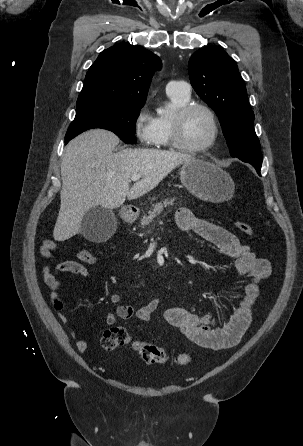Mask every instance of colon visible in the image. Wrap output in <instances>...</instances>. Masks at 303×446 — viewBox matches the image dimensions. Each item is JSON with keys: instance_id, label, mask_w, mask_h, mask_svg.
Listing matches in <instances>:
<instances>
[{"instance_id": "colon-1", "label": "colon", "mask_w": 303, "mask_h": 446, "mask_svg": "<svg viewBox=\"0 0 303 446\" xmlns=\"http://www.w3.org/2000/svg\"><path fill=\"white\" fill-rule=\"evenodd\" d=\"M234 226L246 235H253V228L246 222L235 221ZM78 259L84 263L92 264L96 261V256L88 251L81 250L77 254ZM132 345L141 358L148 364H163L169 360V355L152 342L132 341L127 330L123 327L114 326L106 329L101 337V346L106 351Z\"/></svg>"}]
</instances>
